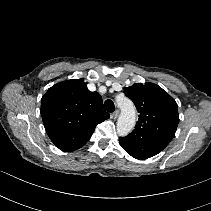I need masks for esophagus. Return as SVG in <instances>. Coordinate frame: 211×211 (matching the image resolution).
Wrapping results in <instances>:
<instances>
[{
	"label": "esophagus",
	"instance_id": "1",
	"mask_svg": "<svg viewBox=\"0 0 211 211\" xmlns=\"http://www.w3.org/2000/svg\"><path fill=\"white\" fill-rule=\"evenodd\" d=\"M118 115H119V110H115V111L111 114V117H112L113 119H116V118L118 117Z\"/></svg>",
	"mask_w": 211,
	"mask_h": 211
}]
</instances>
